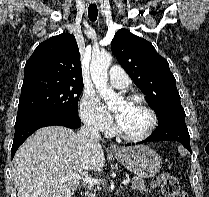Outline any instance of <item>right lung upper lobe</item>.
<instances>
[{
  "instance_id": "cb5924a9",
  "label": "right lung upper lobe",
  "mask_w": 209,
  "mask_h": 197,
  "mask_svg": "<svg viewBox=\"0 0 209 197\" xmlns=\"http://www.w3.org/2000/svg\"><path fill=\"white\" fill-rule=\"evenodd\" d=\"M24 83L36 80L83 83L80 53L71 34H61L42 42L25 64Z\"/></svg>"
}]
</instances>
